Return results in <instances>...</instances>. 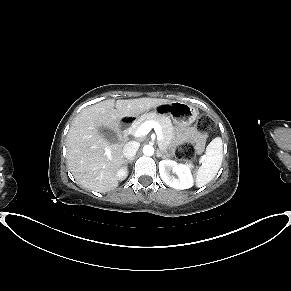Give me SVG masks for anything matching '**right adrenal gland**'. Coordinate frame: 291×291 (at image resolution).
I'll use <instances>...</instances> for the list:
<instances>
[{"label": "right adrenal gland", "mask_w": 291, "mask_h": 291, "mask_svg": "<svg viewBox=\"0 0 291 291\" xmlns=\"http://www.w3.org/2000/svg\"><path fill=\"white\" fill-rule=\"evenodd\" d=\"M134 160V157L133 158H129V159H125V162H132Z\"/></svg>", "instance_id": "2a0ac1e0"}]
</instances>
